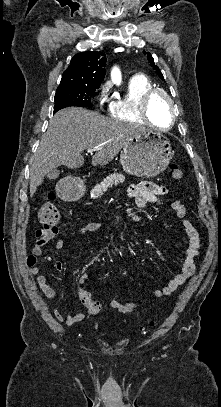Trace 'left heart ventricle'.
I'll return each mask as SVG.
<instances>
[{"label":"left heart ventricle","instance_id":"left-heart-ventricle-1","mask_svg":"<svg viewBox=\"0 0 221 407\" xmlns=\"http://www.w3.org/2000/svg\"><path fill=\"white\" fill-rule=\"evenodd\" d=\"M150 115L153 123L160 127H167L171 120V110L168 102L162 96L156 97L150 105Z\"/></svg>","mask_w":221,"mask_h":407}]
</instances>
